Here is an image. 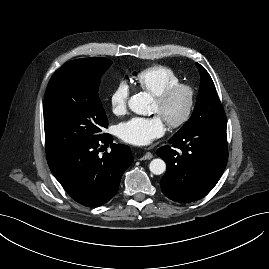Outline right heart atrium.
Masks as SVG:
<instances>
[{
    "instance_id": "obj_1",
    "label": "right heart atrium",
    "mask_w": 269,
    "mask_h": 269,
    "mask_svg": "<svg viewBox=\"0 0 269 269\" xmlns=\"http://www.w3.org/2000/svg\"><path fill=\"white\" fill-rule=\"evenodd\" d=\"M130 97V87L125 81H119L109 96V106L115 115L125 113Z\"/></svg>"
}]
</instances>
